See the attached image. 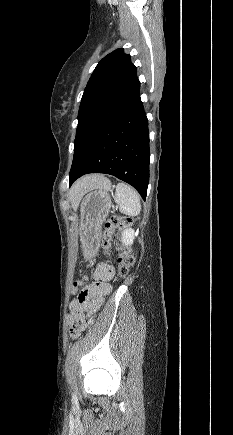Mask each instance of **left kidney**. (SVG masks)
<instances>
[{
    "mask_svg": "<svg viewBox=\"0 0 233 435\" xmlns=\"http://www.w3.org/2000/svg\"><path fill=\"white\" fill-rule=\"evenodd\" d=\"M135 232L133 229L129 228L122 232V243L126 246L133 244Z\"/></svg>",
    "mask_w": 233,
    "mask_h": 435,
    "instance_id": "5707ae66",
    "label": "left kidney"
}]
</instances>
